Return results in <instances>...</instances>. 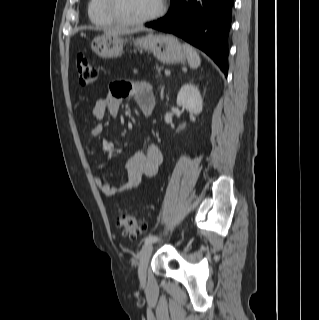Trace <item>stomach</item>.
Listing matches in <instances>:
<instances>
[{
	"mask_svg": "<svg viewBox=\"0 0 319 320\" xmlns=\"http://www.w3.org/2000/svg\"><path fill=\"white\" fill-rule=\"evenodd\" d=\"M126 42L127 39H124L121 35L104 34L93 39L91 48L101 58H115L121 55ZM133 42L135 47L152 52L164 64L185 62L186 54L178 39L173 35L150 33L133 39Z\"/></svg>",
	"mask_w": 319,
	"mask_h": 320,
	"instance_id": "1",
	"label": "stomach"
}]
</instances>
